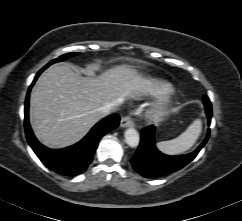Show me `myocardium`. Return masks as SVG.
<instances>
[{"label": "myocardium", "instance_id": "myocardium-1", "mask_svg": "<svg viewBox=\"0 0 242 221\" xmlns=\"http://www.w3.org/2000/svg\"><path fill=\"white\" fill-rule=\"evenodd\" d=\"M168 107V101H164L158 105L149 108L145 114L146 119L151 123H156L160 121L161 118L167 113Z\"/></svg>", "mask_w": 242, "mask_h": 221}]
</instances>
